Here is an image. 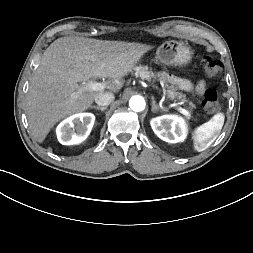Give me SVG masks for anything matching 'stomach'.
Here are the masks:
<instances>
[{
	"label": "stomach",
	"mask_w": 253,
	"mask_h": 253,
	"mask_svg": "<svg viewBox=\"0 0 253 253\" xmlns=\"http://www.w3.org/2000/svg\"><path fill=\"white\" fill-rule=\"evenodd\" d=\"M157 59L167 66H186L192 59L191 49L183 42L170 40L157 49Z\"/></svg>",
	"instance_id": "0dacf381"
}]
</instances>
